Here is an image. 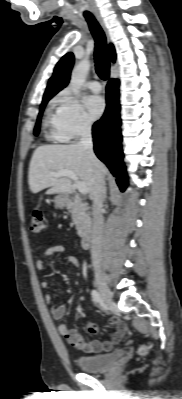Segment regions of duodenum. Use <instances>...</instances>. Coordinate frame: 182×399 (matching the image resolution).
I'll return each instance as SVG.
<instances>
[{
  "label": "duodenum",
  "mask_w": 182,
  "mask_h": 399,
  "mask_svg": "<svg viewBox=\"0 0 182 399\" xmlns=\"http://www.w3.org/2000/svg\"><path fill=\"white\" fill-rule=\"evenodd\" d=\"M76 197L73 194H68L66 197V202L68 205L74 203L76 201ZM92 232L90 230L86 231L82 235V246L83 248H89L92 245Z\"/></svg>",
  "instance_id": "duodenum-1"
}]
</instances>
